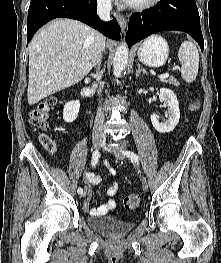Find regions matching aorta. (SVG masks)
<instances>
[{
  "label": "aorta",
  "mask_w": 221,
  "mask_h": 263,
  "mask_svg": "<svg viewBox=\"0 0 221 263\" xmlns=\"http://www.w3.org/2000/svg\"><path fill=\"white\" fill-rule=\"evenodd\" d=\"M128 61V46L125 42L120 44L115 52L113 60V74L120 77L125 70Z\"/></svg>",
  "instance_id": "762f6f07"
}]
</instances>
